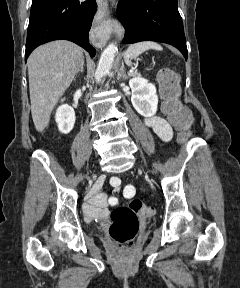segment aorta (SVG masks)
<instances>
[{
  "instance_id": "obj_1",
  "label": "aorta",
  "mask_w": 240,
  "mask_h": 288,
  "mask_svg": "<svg viewBox=\"0 0 240 288\" xmlns=\"http://www.w3.org/2000/svg\"><path fill=\"white\" fill-rule=\"evenodd\" d=\"M117 51L116 43H110L102 52L95 72V80L97 82L101 81L110 71Z\"/></svg>"
}]
</instances>
